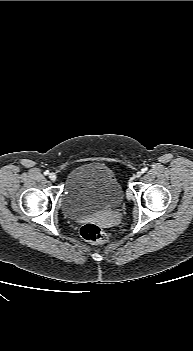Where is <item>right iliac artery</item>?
Returning a JSON list of instances; mask_svg holds the SVG:
<instances>
[{
	"instance_id": "1",
	"label": "right iliac artery",
	"mask_w": 193,
	"mask_h": 351,
	"mask_svg": "<svg viewBox=\"0 0 193 351\" xmlns=\"http://www.w3.org/2000/svg\"><path fill=\"white\" fill-rule=\"evenodd\" d=\"M48 174H49V171L46 170V171L44 172V175H48Z\"/></svg>"
}]
</instances>
